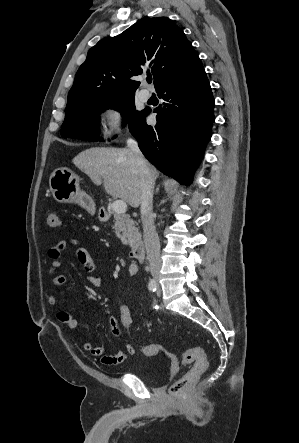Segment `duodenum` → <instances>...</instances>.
<instances>
[{
    "label": "duodenum",
    "instance_id": "1",
    "mask_svg": "<svg viewBox=\"0 0 299 443\" xmlns=\"http://www.w3.org/2000/svg\"><path fill=\"white\" fill-rule=\"evenodd\" d=\"M103 217L106 218L107 215L105 214ZM144 253V244L141 240H135L130 243L129 254L134 261L141 262L144 258Z\"/></svg>",
    "mask_w": 299,
    "mask_h": 443
}]
</instances>
